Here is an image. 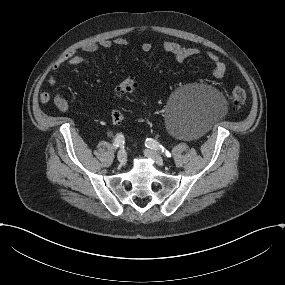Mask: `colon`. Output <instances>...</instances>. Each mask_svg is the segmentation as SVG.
<instances>
[{
  "label": "colon",
  "mask_w": 285,
  "mask_h": 285,
  "mask_svg": "<svg viewBox=\"0 0 285 285\" xmlns=\"http://www.w3.org/2000/svg\"><path fill=\"white\" fill-rule=\"evenodd\" d=\"M139 84L133 79L124 80L115 90L118 96H123L126 94L134 93L138 90ZM247 100V92L244 88L238 86L235 87L228 99V103L232 109L237 110L243 107ZM124 115L120 109H115L111 113L112 123L115 125H119L123 122Z\"/></svg>",
  "instance_id": "obj_1"
}]
</instances>
